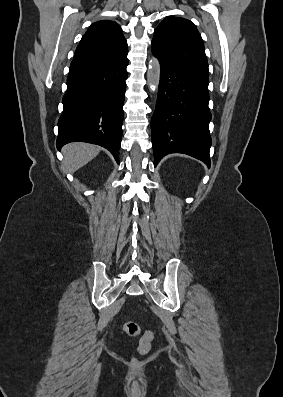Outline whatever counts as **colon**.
<instances>
[{
    "label": "colon",
    "instance_id": "colon-1",
    "mask_svg": "<svg viewBox=\"0 0 283 397\" xmlns=\"http://www.w3.org/2000/svg\"><path fill=\"white\" fill-rule=\"evenodd\" d=\"M124 331L126 332V334H128L129 336H138L141 334V328L140 326L132 321H129L127 323H125L124 325ZM151 341H152V335L150 332H145L141 338H140V342H139V347L138 350L141 354H145L149 351L150 349V345H151Z\"/></svg>",
    "mask_w": 283,
    "mask_h": 397
}]
</instances>
